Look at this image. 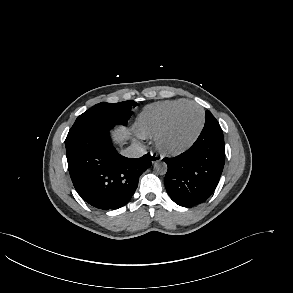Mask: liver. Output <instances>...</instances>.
I'll list each match as a JSON object with an SVG mask.
<instances>
[{"label": "liver", "instance_id": "obj_1", "mask_svg": "<svg viewBox=\"0 0 293 293\" xmlns=\"http://www.w3.org/2000/svg\"><path fill=\"white\" fill-rule=\"evenodd\" d=\"M130 134L129 130L128 129H125V128H119L117 131H116V134H115V141L116 143L118 144H122L123 143V137H127L128 135Z\"/></svg>", "mask_w": 293, "mask_h": 293}]
</instances>
